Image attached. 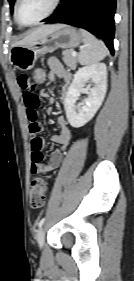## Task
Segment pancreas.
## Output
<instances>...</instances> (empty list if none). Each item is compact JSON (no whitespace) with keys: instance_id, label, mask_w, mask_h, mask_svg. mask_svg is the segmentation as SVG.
Here are the masks:
<instances>
[{"instance_id":"pancreas-1","label":"pancreas","mask_w":134,"mask_h":281,"mask_svg":"<svg viewBox=\"0 0 134 281\" xmlns=\"http://www.w3.org/2000/svg\"><path fill=\"white\" fill-rule=\"evenodd\" d=\"M72 51L71 50H65L63 51V61L64 63L71 69H76L77 67V58L72 56Z\"/></svg>"}]
</instances>
